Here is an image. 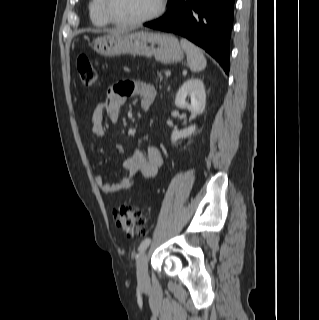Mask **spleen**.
Masks as SVG:
<instances>
[{"instance_id": "1", "label": "spleen", "mask_w": 319, "mask_h": 320, "mask_svg": "<svg viewBox=\"0 0 319 320\" xmlns=\"http://www.w3.org/2000/svg\"><path fill=\"white\" fill-rule=\"evenodd\" d=\"M181 46L186 52L188 65L193 72L205 69L207 61L200 48L185 38L181 39Z\"/></svg>"}]
</instances>
